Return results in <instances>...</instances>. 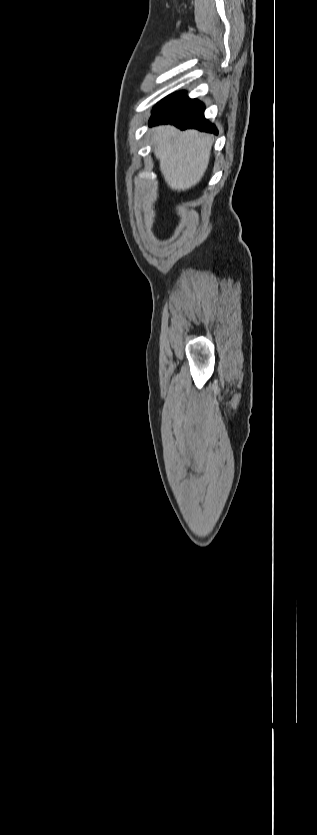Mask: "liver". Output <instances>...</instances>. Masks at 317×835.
<instances>
[{
	"label": "liver",
	"instance_id": "obj_1",
	"mask_svg": "<svg viewBox=\"0 0 317 835\" xmlns=\"http://www.w3.org/2000/svg\"><path fill=\"white\" fill-rule=\"evenodd\" d=\"M151 135L160 170L172 190L184 191L200 182L209 164L212 135L180 132L170 125L154 127Z\"/></svg>",
	"mask_w": 317,
	"mask_h": 835
}]
</instances>
